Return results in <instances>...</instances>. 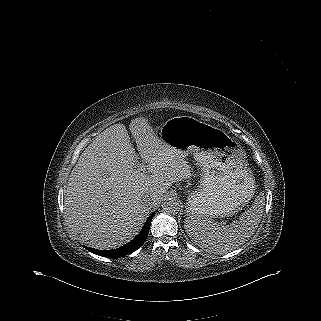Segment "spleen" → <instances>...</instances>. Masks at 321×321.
<instances>
[{"label": "spleen", "mask_w": 321, "mask_h": 321, "mask_svg": "<svg viewBox=\"0 0 321 321\" xmlns=\"http://www.w3.org/2000/svg\"><path fill=\"white\" fill-rule=\"evenodd\" d=\"M265 197L259 194L252 207L230 226L189 215L184 224L189 237L202 249L222 254L244 244L256 231L264 212Z\"/></svg>", "instance_id": "spleen-1"}]
</instances>
